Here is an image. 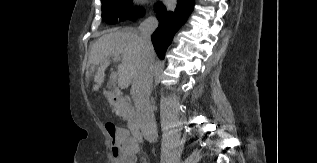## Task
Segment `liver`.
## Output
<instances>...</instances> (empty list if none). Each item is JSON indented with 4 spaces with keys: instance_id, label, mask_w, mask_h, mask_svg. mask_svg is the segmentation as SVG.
<instances>
[{
    "instance_id": "liver-1",
    "label": "liver",
    "mask_w": 317,
    "mask_h": 163,
    "mask_svg": "<svg viewBox=\"0 0 317 163\" xmlns=\"http://www.w3.org/2000/svg\"><path fill=\"white\" fill-rule=\"evenodd\" d=\"M111 57H119L121 63L118 66V85L126 88L133 84L138 68L142 63L141 36L134 29L112 31L98 38L91 48L88 65L90 71L87 77L97 66L93 75V90L99 89L104 82L105 70L110 64Z\"/></svg>"
}]
</instances>
